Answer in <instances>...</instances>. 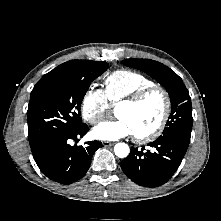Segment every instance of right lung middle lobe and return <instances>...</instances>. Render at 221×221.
I'll use <instances>...</instances> for the list:
<instances>
[{
  "mask_svg": "<svg viewBox=\"0 0 221 221\" xmlns=\"http://www.w3.org/2000/svg\"><path fill=\"white\" fill-rule=\"evenodd\" d=\"M105 61L71 60L63 71L43 76L31 92L27 111L31 149L84 123L80 106L90 83L108 69Z\"/></svg>",
  "mask_w": 221,
  "mask_h": 221,
  "instance_id": "dd1d6c3e",
  "label": "right lung middle lobe"
}]
</instances>
